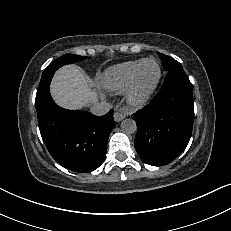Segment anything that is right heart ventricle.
Segmentation results:
<instances>
[{
  "label": "right heart ventricle",
  "mask_w": 231,
  "mask_h": 231,
  "mask_svg": "<svg viewBox=\"0 0 231 231\" xmlns=\"http://www.w3.org/2000/svg\"><path fill=\"white\" fill-rule=\"evenodd\" d=\"M143 59L130 60L106 69L99 80V85L106 93H118L125 89L135 67Z\"/></svg>",
  "instance_id": "obj_1"
}]
</instances>
